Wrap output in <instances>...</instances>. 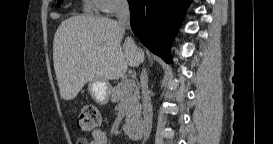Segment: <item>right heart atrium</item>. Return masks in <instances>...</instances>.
I'll list each match as a JSON object with an SVG mask.
<instances>
[{
  "instance_id": "d8ad5b80",
  "label": "right heart atrium",
  "mask_w": 273,
  "mask_h": 144,
  "mask_svg": "<svg viewBox=\"0 0 273 144\" xmlns=\"http://www.w3.org/2000/svg\"><path fill=\"white\" fill-rule=\"evenodd\" d=\"M98 12L106 15H113L125 5L126 0H94Z\"/></svg>"
}]
</instances>
